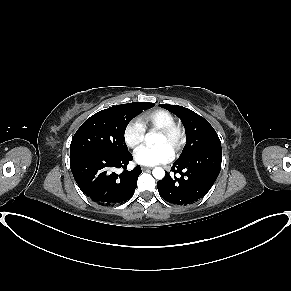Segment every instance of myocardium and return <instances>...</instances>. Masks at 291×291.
I'll list each match as a JSON object with an SVG mask.
<instances>
[{
    "label": "myocardium",
    "instance_id": "myocardium-1",
    "mask_svg": "<svg viewBox=\"0 0 291 291\" xmlns=\"http://www.w3.org/2000/svg\"><path fill=\"white\" fill-rule=\"evenodd\" d=\"M159 133L167 138L173 153L178 152L185 142L184 128L178 123L159 129Z\"/></svg>",
    "mask_w": 291,
    "mask_h": 291
}]
</instances>
